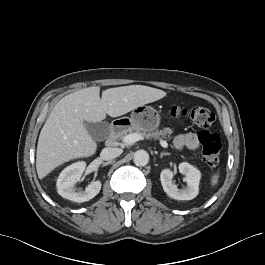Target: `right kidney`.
Wrapping results in <instances>:
<instances>
[{
    "instance_id": "1",
    "label": "right kidney",
    "mask_w": 265,
    "mask_h": 265,
    "mask_svg": "<svg viewBox=\"0 0 265 265\" xmlns=\"http://www.w3.org/2000/svg\"><path fill=\"white\" fill-rule=\"evenodd\" d=\"M86 163L76 162L66 167L57 179V189L60 196L68 200L82 203L94 198L101 189V182L99 180L91 182L85 191H76L75 184L80 180Z\"/></svg>"
}]
</instances>
